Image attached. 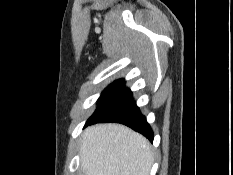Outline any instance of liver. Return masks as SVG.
<instances>
[{
	"mask_svg": "<svg viewBox=\"0 0 233 175\" xmlns=\"http://www.w3.org/2000/svg\"><path fill=\"white\" fill-rule=\"evenodd\" d=\"M81 167L85 175H149V141L120 124H97L82 134Z\"/></svg>",
	"mask_w": 233,
	"mask_h": 175,
	"instance_id": "liver-1",
	"label": "liver"
}]
</instances>
